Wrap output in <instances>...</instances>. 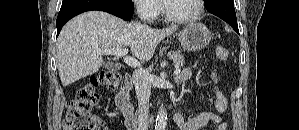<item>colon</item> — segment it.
Listing matches in <instances>:
<instances>
[{"instance_id": "1", "label": "colon", "mask_w": 299, "mask_h": 130, "mask_svg": "<svg viewBox=\"0 0 299 130\" xmlns=\"http://www.w3.org/2000/svg\"><path fill=\"white\" fill-rule=\"evenodd\" d=\"M216 57L219 61H226L229 52L225 47L218 46ZM121 80V74L116 71H105L92 76L89 82L78 90L75 98L67 102L63 130H108L91 115V110L99 101L97 88L104 86L116 89Z\"/></svg>"}]
</instances>
